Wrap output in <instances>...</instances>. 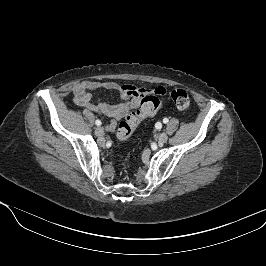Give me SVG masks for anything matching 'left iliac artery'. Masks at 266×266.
<instances>
[{
    "instance_id": "obj_1",
    "label": "left iliac artery",
    "mask_w": 266,
    "mask_h": 266,
    "mask_svg": "<svg viewBox=\"0 0 266 266\" xmlns=\"http://www.w3.org/2000/svg\"><path fill=\"white\" fill-rule=\"evenodd\" d=\"M163 122L166 124V123H168V119L167 118H164L163 119ZM159 123H157V125H158Z\"/></svg>"
}]
</instances>
